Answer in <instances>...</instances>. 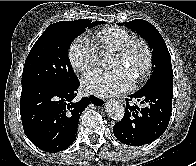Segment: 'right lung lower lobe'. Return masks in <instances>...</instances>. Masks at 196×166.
<instances>
[{
    "instance_id": "1",
    "label": "right lung lower lobe",
    "mask_w": 196,
    "mask_h": 166,
    "mask_svg": "<svg viewBox=\"0 0 196 166\" xmlns=\"http://www.w3.org/2000/svg\"><path fill=\"white\" fill-rule=\"evenodd\" d=\"M80 82L68 86L42 81L22 84L20 114L26 136L39 149L59 152L76 139L79 117L91 103L104 101L95 96L74 101Z\"/></svg>"
}]
</instances>
